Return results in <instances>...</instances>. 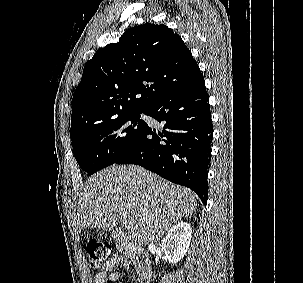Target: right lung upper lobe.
Listing matches in <instances>:
<instances>
[{
	"label": "right lung upper lobe",
	"mask_w": 303,
	"mask_h": 283,
	"mask_svg": "<svg viewBox=\"0 0 303 283\" xmlns=\"http://www.w3.org/2000/svg\"><path fill=\"white\" fill-rule=\"evenodd\" d=\"M199 75L191 51L170 28L151 23L135 26L85 64L73 95L70 134L130 112L147 111Z\"/></svg>",
	"instance_id": "obj_1"
}]
</instances>
